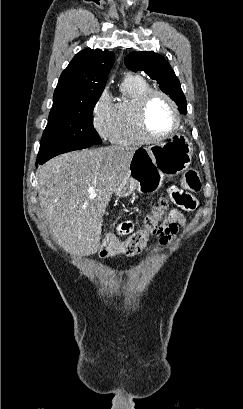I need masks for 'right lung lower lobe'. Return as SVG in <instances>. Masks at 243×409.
Masks as SVG:
<instances>
[{
    "label": "right lung lower lobe",
    "instance_id": "right-lung-lower-lobe-1",
    "mask_svg": "<svg viewBox=\"0 0 243 409\" xmlns=\"http://www.w3.org/2000/svg\"><path fill=\"white\" fill-rule=\"evenodd\" d=\"M92 145H71V146H50V145H41L37 157L36 167L38 164H43L54 156H57L62 153L84 149L91 147Z\"/></svg>",
    "mask_w": 243,
    "mask_h": 409
}]
</instances>
